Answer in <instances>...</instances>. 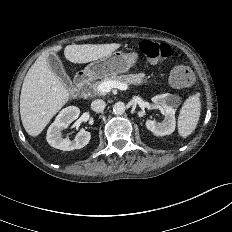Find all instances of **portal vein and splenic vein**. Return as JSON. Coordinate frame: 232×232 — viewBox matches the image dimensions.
Masks as SVG:
<instances>
[{"label": "portal vein and splenic vein", "mask_w": 232, "mask_h": 232, "mask_svg": "<svg viewBox=\"0 0 232 232\" xmlns=\"http://www.w3.org/2000/svg\"><path fill=\"white\" fill-rule=\"evenodd\" d=\"M113 88H117L120 90H126L128 89V85L126 83L118 82V81H106L101 83L98 86V91L102 93H108L110 92Z\"/></svg>", "instance_id": "portal-vein-and-splenic-vein-1"}]
</instances>
